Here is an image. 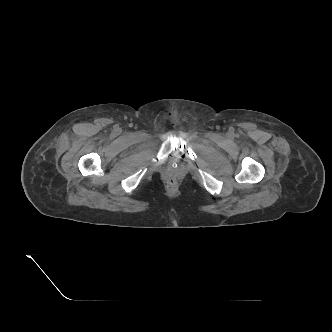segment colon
<instances>
[{"instance_id":"colon-1","label":"colon","mask_w":332,"mask_h":332,"mask_svg":"<svg viewBox=\"0 0 332 332\" xmlns=\"http://www.w3.org/2000/svg\"><path fill=\"white\" fill-rule=\"evenodd\" d=\"M169 184H170V185H174V184H175V180H174V179H170V180H169Z\"/></svg>"}]
</instances>
